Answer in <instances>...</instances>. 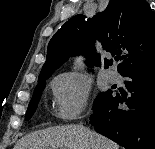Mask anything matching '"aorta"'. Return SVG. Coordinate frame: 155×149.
Listing matches in <instances>:
<instances>
[{"label":"aorta","instance_id":"1","mask_svg":"<svg viewBox=\"0 0 155 149\" xmlns=\"http://www.w3.org/2000/svg\"><path fill=\"white\" fill-rule=\"evenodd\" d=\"M81 67V61L79 59H77L74 63V69H79Z\"/></svg>","mask_w":155,"mask_h":149}]
</instances>
